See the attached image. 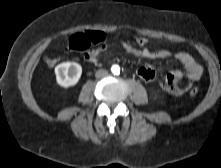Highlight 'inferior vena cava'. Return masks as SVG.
<instances>
[{
	"label": "inferior vena cava",
	"mask_w": 221,
	"mask_h": 168,
	"mask_svg": "<svg viewBox=\"0 0 221 168\" xmlns=\"http://www.w3.org/2000/svg\"><path fill=\"white\" fill-rule=\"evenodd\" d=\"M107 75H108V71L104 69H100L96 71L95 73L96 78H103V77H106Z\"/></svg>",
	"instance_id": "obj_1"
}]
</instances>
